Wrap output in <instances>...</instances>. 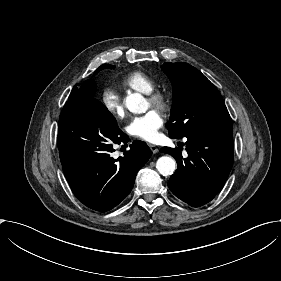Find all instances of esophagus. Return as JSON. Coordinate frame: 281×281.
<instances>
[{"label": "esophagus", "mask_w": 281, "mask_h": 281, "mask_svg": "<svg viewBox=\"0 0 281 281\" xmlns=\"http://www.w3.org/2000/svg\"><path fill=\"white\" fill-rule=\"evenodd\" d=\"M149 148L151 149V151L155 154L159 151V149L157 148V146L153 145V144H148Z\"/></svg>", "instance_id": "esophagus-1"}]
</instances>
